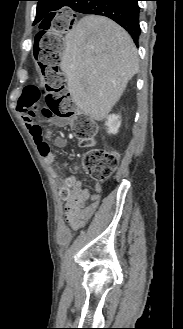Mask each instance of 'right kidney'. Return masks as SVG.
<instances>
[{
    "label": "right kidney",
    "instance_id": "right-kidney-1",
    "mask_svg": "<svg viewBox=\"0 0 183 329\" xmlns=\"http://www.w3.org/2000/svg\"><path fill=\"white\" fill-rule=\"evenodd\" d=\"M105 125L107 126V132L109 134H116L121 125L120 116L115 114L109 115Z\"/></svg>",
    "mask_w": 183,
    "mask_h": 329
}]
</instances>
